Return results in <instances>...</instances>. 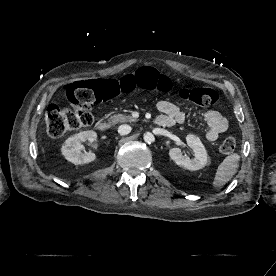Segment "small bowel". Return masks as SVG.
<instances>
[{"mask_svg": "<svg viewBox=\"0 0 276 276\" xmlns=\"http://www.w3.org/2000/svg\"><path fill=\"white\" fill-rule=\"evenodd\" d=\"M158 110L162 113L158 119L163 120L164 126L183 124L186 121V113L177 105L169 101H160L157 104ZM202 117L209 127L206 138L210 142L218 139L220 134L228 128L227 119L217 110H208L202 113Z\"/></svg>", "mask_w": 276, "mask_h": 276, "instance_id": "c3829d8e", "label": "small bowel"}]
</instances>
